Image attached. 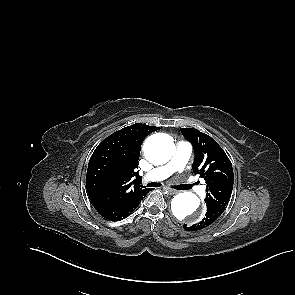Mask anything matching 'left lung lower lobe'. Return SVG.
I'll list each match as a JSON object with an SVG mask.
<instances>
[{"label": "left lung lower lobe", "instance_id": "0a47b994", "mask_svg": "<svg viewBox=\"0 0 295 295\" xmlns=\"http://www.w3.org/2000/svg\"><path fill=\"white\" fill-rule=\"evenodd\" d=\"M225 208L226 206H223V205L209 203L207 205V213L205 217L202 219V221L192 226L184 225L183 227L187 231H196V230L203 229L209 226L210 224H212L223 213Z\"/></svg>", "mask_w": 295, "mask_h": 295}]
</instances>
